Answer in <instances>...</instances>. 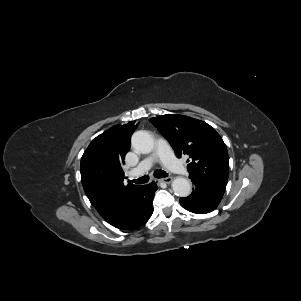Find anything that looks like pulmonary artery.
<instances>
[{
  "mask_svg": "<svg viewBox=\"0 0 301 301\" xmlns=\"http://www.w3.org/2000/svg\"><path fill=\"white\" fill-rule=\"evenodd\" d=\"M160 160L169 170L177 174H186V168L176 159L168 144L159 139L156 142L154 152L143 159L139 165L130 172L131 177H137L147 172L155 161Z\"/></svg>",
  "mask_w": 301,
  "mask_h": 301,
  "instance_id": "e3ab8cb5",
  "label": "pulmonary artery"
}]
</instances>
